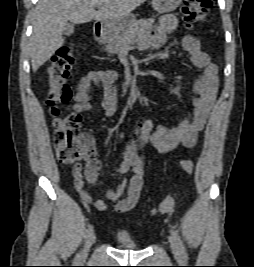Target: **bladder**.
Segmentation results:
<instances>
[{"instance_id": "1", "label": "bladder", "mask_w": 254, "mask_h": 267, "mask_svg": "<svg viewBox=\"0 0 254 267\" xmlns=\"http://www.w3.org/2000/svg\"><path fill=\"white\" fill-rule=\"evenodd\" d=\"M114 241L118 248L125 250H136L139 247L136 241L128 233L123 231L115 234Z\"/></svg>"}]
</instances>
